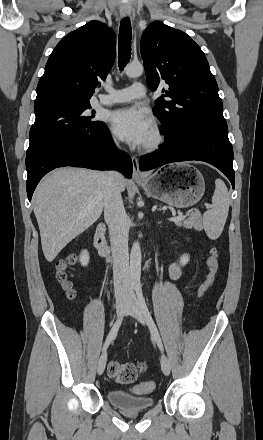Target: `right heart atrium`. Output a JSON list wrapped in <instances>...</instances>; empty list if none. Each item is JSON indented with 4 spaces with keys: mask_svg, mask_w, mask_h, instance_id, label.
Here are the masks:
<instances>
[{
    "mask_svg": "<svg viewBox=\"0 0 263 440\" xmlns=\"http://www.w3.org/2000/svg\"><path fill=\"white\" fill-rule=\"evenodd\" d=\"M111 141L115 145H118L120 143L119 138L116 135H114V134H112V136H111Z\"/></svg>",
    "mask_w": 263,
    "mask_h": 440,
    "instance_id": "1",
    "label": "right heart atrium"
}]
</instances>
